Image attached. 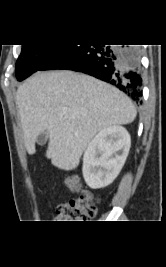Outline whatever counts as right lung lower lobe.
<instances>
[{
    "label": "right lung lower lobe",
    "instance_id": "1",
    "mask_svg": "<svg viewBox=\"0 0 166 267\" xmlns=\"http://www.w3.org/2000/svg\"><path fill=\"white\" fill-rule=\"evenodd\" d=\"M136 47L62 45L39 70L67 69L91 75L142 103L141 65Z\"/></svg>",
    "mask_w": 166,
    "mask_h": 267
}]
</instances>
